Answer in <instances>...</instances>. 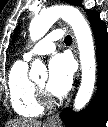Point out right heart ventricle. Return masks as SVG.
Masks as SVG:
<instances>
[{
    "mask_svg": "<svg viewBox=\"0 0 108 127\" xmlns=\"http://www.w3.org/2000/svg\"><path fill=\"white\" fill-rule=\"evenodd\" d=\"M8 90L13 110L22 117H37L43 112L34 82L28 76L26 61L13 64L8 75Z\"/></svg>",
    "mask_w": 108,
    "mask_h": 127,
    "instance_id": "obj_1",
    "label": "right heart ventricle"
}]
</instances>
